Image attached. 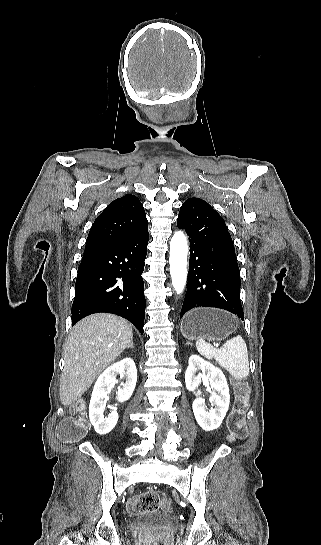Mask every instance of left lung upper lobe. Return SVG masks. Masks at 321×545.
Here are the masks:
<instances>
[{
    "instance_id": "left-lung-upper-lobe-1",
    "label": "left lung upper lobe",
    "mask_w": 321,
    "mask_h": 545,
    "mask_svg": "<svg viewBox=\"0 0 321 545\" xmlns=\"http://www.w3.org/2000/svg\"><path fill=\"white\" fill-rule=\"evenodd\" d=\"M205 201H203L202 199H199V198H195V197H192V198H188L183 205H189V204H194V203H203ZM182 205V206H183Z\"/></svg>"
}]
</instances>
